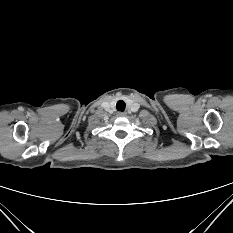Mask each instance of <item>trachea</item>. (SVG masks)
<instances>
[{"instance_id":"1","label":"trachea","mask_w":233,"mask_h":233,"mask_svg":"<svg viewBox=\"0 0 233 233\" xmlns=\"http://www.w3.org/2000/svg\"><path fill=\"white\" fill-rule=\"evenodd\" d=\"M116 108L118 111L123 112L125 110V102L122 100L118 101L116 104Z\"/></svg>"}]
</instances>
